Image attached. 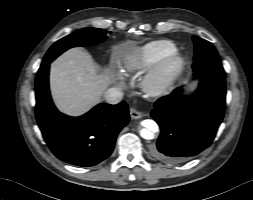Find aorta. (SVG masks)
<instances>
[{
    "label": "aorta",
    "instance_id": "762f6f07",
    "mask_svg": "<svg viewBox=\"0 0 253 200\" xmlns=\"http://www.w3.org/2000/svg\"><path fill=\"white\" fill-rule=\"evenodd\" d=\"M144 128L140 129V136L144 139L151 140L154 138L153 132H157L158 126L153 120L142 122Z\"/></svg>",
    "mask_w": 253,
    "mask_h": 200
}]
</instances>
